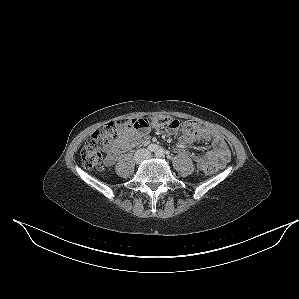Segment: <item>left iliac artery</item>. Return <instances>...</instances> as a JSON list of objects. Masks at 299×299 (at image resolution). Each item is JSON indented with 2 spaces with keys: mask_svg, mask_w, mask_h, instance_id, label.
Segmentation results:
<instances>
[{
  "mask_svg": "<svg viewBox=\"0 0 299 299\" xmlns=\"http://www.w3.org/2000/svg\"><path fill=\"white\" fill-rule=\"evenodd\" d=\"M165 154V151L162 149V148H159L157 151H156V156L157 157H162L164 156Z\"/></svg>",
  "mask_w": 299,
  "mask_h": 299,
  "instance_id": "1",
  "label": "left iliac artery"
}]
</instances>
